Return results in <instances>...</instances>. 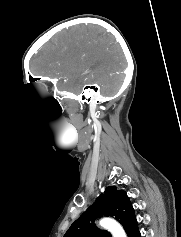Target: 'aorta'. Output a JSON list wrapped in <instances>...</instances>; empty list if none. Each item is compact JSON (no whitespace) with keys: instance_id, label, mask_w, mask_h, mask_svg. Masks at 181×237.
Segmentation results:
<instances>
[{"instance_id":"aorta-1","label":"aorta","mask_w":181,"mask_h":237,"mask_svg":"<svg viewBox=\"0 0 181 237\" xmlns=\"http://www.w3.org/2000/svg\"><path fill=\"white\" fill-rule=\"evenodd\" d=\"M99 224L102 228L110 231L113 237H127L121 225L111 218H103Z\"/></svg>"}]
</instances>
